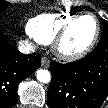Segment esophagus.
I'll use <instances>...</instances> for the list:
<instances>
[{"mask_svg":"<svg viewBox=\"0 0 108 108\" xmlns=\"http://www.w3.org/2000/svg\"><path fill=\"white\" fill-rule=\"evenodd\" d=\"M41 65L44 68H48L50 66V60L47 57H42V59H41Z\"/></svg>","mask_w":108,"mask_h":108,"instance_id":"obj_1","label":"esophagus"}]
</instances>
